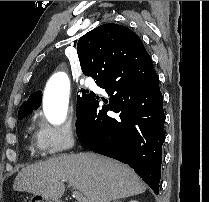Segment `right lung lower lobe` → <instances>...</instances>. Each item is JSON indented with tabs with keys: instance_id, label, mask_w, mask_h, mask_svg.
<instances>
[{
	"instance_id": "right-lung-lower-lobe-1",
	"label": "right lung lower lobe",
	"mask_w": 209,
	"mask_h": 202,
	"mask_svg": "<svg viewBox=\"0 0 209 202\" xmlns=\"http://www.w3.org/2000/svg\"><path fill=\"white\" fill-rule=\"evenodd\" d=\"M141 60L144 72L130 75L123 86L110 79L99 85L111 98L99 110V98L93 95L77 116L76 130L86 148L128 164L159 194L165 140L163 96L151 57Z\"/></svg>"
}]
</instances>
